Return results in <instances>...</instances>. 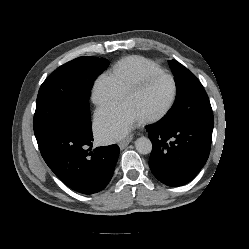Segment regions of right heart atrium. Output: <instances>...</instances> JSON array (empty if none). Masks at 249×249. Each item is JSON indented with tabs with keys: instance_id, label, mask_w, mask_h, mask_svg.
I'll return each mask as SVG.
<instances>
[{
	"instance_id": "obj_1",
	"label": "right heart atrium",
	"mask_w": 249,
	"mask_h": 249,
	"mask_svg": "<svg viewBox=\"0 0 249 249\" xmlns=\"http://www.w3.org/2000/svg\"><path fill=\"white\" fill-rule=\"evenodd\" d=\"M124 91L110 73L100 75L94 82L91 98L98 107H103L122 99Z\"/></svg>"
}]
</instances>
